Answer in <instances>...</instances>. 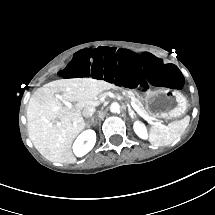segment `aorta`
<instances>
[{
	"mask_svg": "<svg viewBox=\"0 0 215 215\" xmlns=\"http://www.w3.org/2000/svg\"><path fill=\"white\" fill-rule=\"evenodd\" d=\"M110 111L112 113H118L120 111V105L117 102H113L110 106Z\"/></svg>",
	"mask_w": 215,
	"mask_h": 215,
	"instance_id": "762f6f07",
	"label": "aorta"
}]
</instances>
